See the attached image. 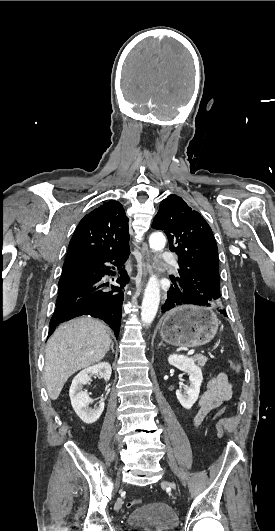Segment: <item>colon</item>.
Returning a JSON list of instances; mask_svg holds the SVG:
<instances>
[{"instance_id":"5ec220e1","label":"colon","mask_w":275,"mask_h":531,"mask_svg":"<svg viewBox=\"0 0 275 531\" xmlns=\"http://www.w3.org/2000/svg\"><path fill=\"white\" fill-rule=\"evenodd\" d=\"M229 366L230 368L235 371V372H240L241 370V366L239 364V362H236L234 360H231L229 362ZM226 411V408L224 406H220L212 415V419L210 420V423L212 425H215L217 422L221 421L223 416H224V412ZM141 502V499H138V498H135V499H132L130 500L127 505L129 507H132V506H135V505H138L139 503Z\"/></svg>"}]
</instances>
